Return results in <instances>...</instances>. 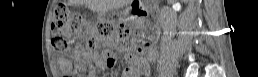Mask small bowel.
Here are the masks:
<instances>
[{"instance_id": "1", "label": "small bowel", "mask_w": 258, "mask_h": 77, "mask_svg": "<svg viewBox=\"0 0 258 77\" xmlns=\"http://www.w3.org/2000/svg\"><path fill=\"white\" fill-rule=\"evenodd\" d=\"M157 54L155 50L148 51L142 57L134 54H128L126 61L128 68L126 74L128 76H140L150 74V64L156 60ZM96 62L104 69H113L117 65V59L114 53L106 52L97 56Z\"/></svg>"}]
</instances>
